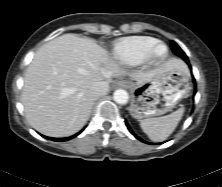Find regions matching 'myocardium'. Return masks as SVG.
Wrapping results in <instances>:
<instances>
[{"mask_svg":"<svg viewBox=\"0 0 222 187\" xmlns=\"http://www.w3.org/2000/svg\"><path fill=\"white\" fill-rule=\"evenodd\" d=\"M168 56V47L161 41L155 42L147 51L143 60L146 66H156Z\"/></svg>","mask_w":222,"mask_h":187,"instance_id":"obj_1","label":"myocardium"}]
</instances>
